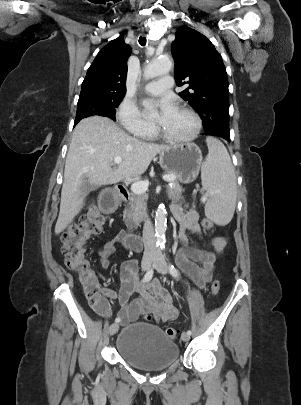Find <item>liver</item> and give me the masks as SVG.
<instances>
[{"mask_svg": "<svg viewBox=\"0 0 301 405\" xmlns=\"http://www.w3.org/2000/svg\"><path fill=\"white\" fill-rule=\"evenodd\" d=\"M168 145L146 143L131 137L111 119L92 116L75 127L69 145L60 211L55 232L73 222L83 206L80 187L84 181L97 186L116 184L143 174L153 158ZM116 156L122 162L112 168Z\"/></svg>", "mask_w": 301, "mask_h": 405, "instance_id": "1", "label": "liver"}]
</instances>
